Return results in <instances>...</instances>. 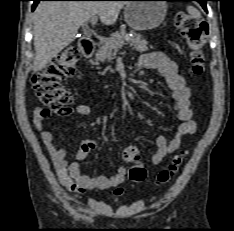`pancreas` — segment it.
Here are the masks:
<instances>
[{
	"instance_id": "pancreas-1",
	"label": "pancreas",
	"mask_w": 234,
	"mask_h": 231,
	"mask_svg": "<svg viewBox=\"0 0 234 231\" xmlns=\"http://www.w3.org/2000/svg\"><path fill=\"white\" fill-rule=\"evenodd\" d=\"M130 33H132V37H129V39L126 40L125 37L127 34L125 28H121L120 31L113 33L107 38L106 42L96 53L95 62H93V64H97L98 61H110L126 43L130 44V46L137 52L142 53L149 50L146 39L142 38L140 34H137L134 31H130Z\"/></svg>"
}]
</instances>
